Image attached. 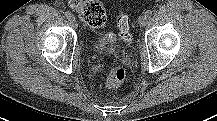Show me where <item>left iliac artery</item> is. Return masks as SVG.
<instances>
[{
	"mask_svg": "<svg viewBox=\"0 0 217 121\" xmlns=\"http://www.w3.org/2000/svg\"><path fill=\"white\" fill-rule=\"evenodd\" d=\"M145 14H146L148 17H151L152 14H153V11H152V10H147V11L145 12Z\"/></svg>",
	"mask_w": 217,
	"mask_h": 121,
	"instance_id": "left-iliac-artery-1",
	"label": "left iliac artery"
}]
</instances>
